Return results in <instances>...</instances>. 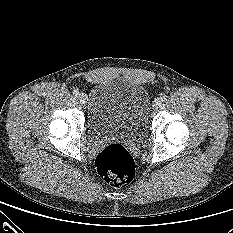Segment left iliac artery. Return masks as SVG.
Here are the masks:
<instances>
[{
  "label": "left iliac artery",
  "instance_id": "44dca946",
  "mask_svg": "<svg viewBox=\"0 0 233 233\" xmlns=\"http://www.w3.org/2000/svg\"><path fill=\"white\" fill-rule=\"evenodd\" d=\"M161 100L162 101H166L167 100V95L166 94H162L161 95Z\"/></svg>",
  "mask_w": 233,
  "mask_h": 233
}]
</instances>
